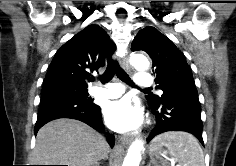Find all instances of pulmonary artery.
<instances>
[{
	"mask_svg": "<svg viewBox=\"0 0 236 166\" xmlns=\"http://www.w3.org/2000/svg\"><path fill=\"white\" fill-rule=\"evenodd\" d=\"M153 77L148 72H138L135 78V85L140 88L148 87L153 84ZM91 96L114 99L124 93L123 85L119 83L109 84L106 87H91L89 89Z\"/></svg>",
	"mask_w": 236,
	"mask_h": 166,
	"instance_id": "e3ab8cb5",
	"label": "pulmonary artery"
}]
</instances>
